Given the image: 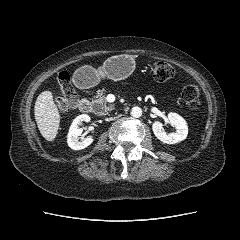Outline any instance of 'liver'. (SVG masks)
Here are the masks:
<instances>
[{"instance_id":"1","label":"liver","mask_w":240,"mask_h":240,"mask_svg":"<svg viewBox=\"0 0 240 240\" xmlns=\"http://www.w3.org/2000/svg\"><path fill=\"white\" fill-rule=\"evenodd\" d=\"M35 120L42 136L53 141L58 133L60 114L50 91H43L36 99L34 106Z\"/></svg>"}]
</instances>
